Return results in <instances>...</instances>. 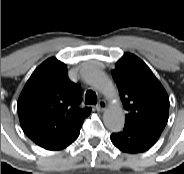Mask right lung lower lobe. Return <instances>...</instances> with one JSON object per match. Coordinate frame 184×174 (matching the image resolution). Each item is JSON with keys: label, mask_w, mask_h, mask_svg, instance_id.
Returning a JSON list of instances; mask_svg holds the SVG:
<instances>
[{"label": "right lung lower lobe", "mask_w": 184, "mask_h": 174, "mask_svg": "<svg viewBox=\"0 0 184 174\" xmlns=\"http://www.w3.org/2000/svg\"><path fill=\"white\" fill-rule=\"evenodd\" d=\"M82 123L72 129L68 135H66L64 138L60 139L59 141L51 144L50 146L46 147L45 149L48 150H61L69 146L72 142H74L77 137L79 136L80 129H81Z\"/></svg>", "instance_id": "1"}]
</instances>
